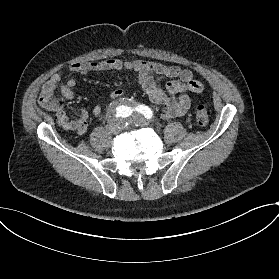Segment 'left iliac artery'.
I'll use <instances>...</instances> for the list:
<instances>
[{
	"label": "left iliac artery",
	"mask_w": 279,
	"mask_h": 279,
	"mask_svg": "<svg viewBox=\"0 0 279 279\" xmlns=\"http://www.w3.org/2000/svg\"><path fill=\"white\" fill-rule=\"evenodd\" d=\"M144 109H145V110H144V116H145V118H147V119L152 118L153 113H152L151 109L148 108L147 106H145Z\"/></svg>",
	"instance_id": "1"
}]
</instances>
